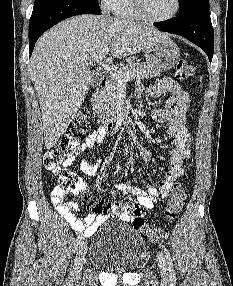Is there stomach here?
Wrapping results in <instances>:
<instances>
[{"instance_id":"0dacf381","label":"stomach","mask_w":233,"mask_h":286,"mask_svg":"<svg viewBox=\"0 0 233 286\" xmlns=\"http://www.w3.org/2000/svg\"><path fill=\"white\" fill-rule=\"evenodd\" d=\"M179 58L180 50L169 37L154 44L145 52L146 65L158 72L170 70Z\"/></svg>"}]
</instances>
